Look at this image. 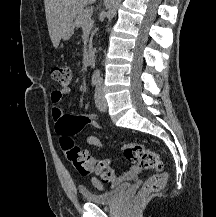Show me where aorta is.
I'll return each mask as SVG.
<instances>
[{
    "instance_id": "762f6f07",
    "label": "aorta",
    "mask_w": 216,
    "mask_h": 217,
    "mask_svg": "<svg viewBox=\"0 0 216 217\" xmlns=\"http://www.w3.org/2000/svg\"><path fill=\"white\" fill-rule=\"evenodd\" d=\"M121 0H110V6H109V10L107 12V18H108V23L111 22V20L114 18V16L116 15L118 6L120 4ZM95 73L97 75L100 74V70H96Z\"/></svg>"
}]
</instances>
